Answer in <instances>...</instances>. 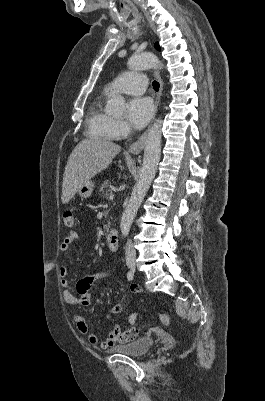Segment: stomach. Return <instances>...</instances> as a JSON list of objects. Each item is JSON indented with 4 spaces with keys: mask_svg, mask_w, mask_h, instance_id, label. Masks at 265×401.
<instances>
[{
    "mask_svg": "<svg viewBox=\"0 0 265 401\" xmlns=\"http://www.w3.org/2000/svg\"><path fill=\"white\" fill-rule=\"evenodd\" d=\"M94 182L93 180H85L83 184H80L77 192L80 194L81 198H89L93 192Z\"/></svg>",
    "mask_w": 265,
    "mask_h": 401,
    "instance_id": "stomach-1",
    "label": "stomach"
}]
</instances>
